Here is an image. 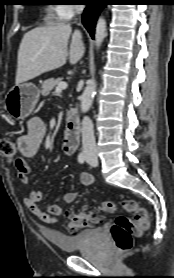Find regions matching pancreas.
<instances>
[{
    "mask_svg": "<svg viewBox=\"0 0 174 278\" xmlns=\"http://www.w3.org/2000/svg\"><path fill=\"white\" fill-rule=\"evenodd\" d=\"M62 78H57V79H54V78H50V79H47L46 81L43 82L41 88V94L46 96L48 94H50V92L60 83L62 82Z\"/></svg>",
    "mask_w": 174,
    "mask_h": 278,
    "instance_id": "obj_1",
    "label": "pancreas"
}]
</instances>
